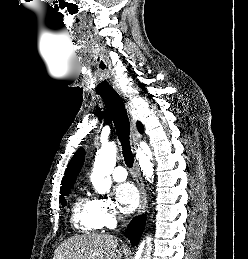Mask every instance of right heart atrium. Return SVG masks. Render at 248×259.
Instances as JSON below:
<instances>
[{
  "label": "right heart atrium",
  "instance_id": "right-heart-atrium-1",
  "mask_svg": "<svg viewBox=\"0 0 248 259\" xmlns=\"http://www.w3.org/2000/svg\"><path fill=\"white\" fill-rule=\"evenodd\" d=\"M96 211L101 227H113L118 219L119 213L114 202L107 197L95 199Z\"/></svg>",
  "mask_w": 248,
  "mask_h": 259
}]
</instances>
